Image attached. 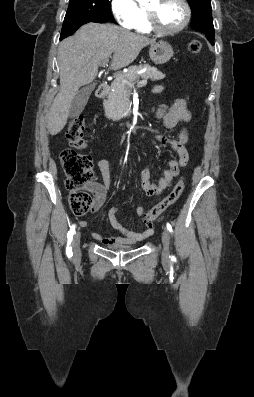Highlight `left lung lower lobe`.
<instances>
[{
  "label": "left lung lower lobe",
  "mask_w": 254,
  "mask_h": 397,
  "mask_svg": "<svg viewBox=\"0 0 254 397\" xmlns=\"http://www.w3.org/2000/svg\"><path fill=\"white\" fill-rule=\"evenodd\" d=\"M205 35H206L207 39L211 42V44L214 45V35H207V34H205Z\"/></svg>",
  "instance_id": "left-lung-lower-lobe-1"
}]
</instances>
